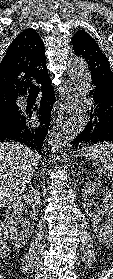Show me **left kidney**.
Returning <instances> with one entry per match:
<instances>
[{
	"mask_svg": "<svg viewBox=\"0 0 113 279\" xmlns=\"http://www.w3.org/2000/svg\"><path fill=\"white\" fill-rule=\"evenodd\" d=\"M99 194L103 197V210L93 212L91 196ZM82 204L86 213L91 218L92 227L100 242L113 244V192L104 188L100 183L88 181L82 190ZM100 213L105 214V222L100 224Z\"/></svg>",
	"mask_w": 113,
	"mask_h": 279,
	"instance_id": "5707ae66",
	"label": "left kidney"
}]
</instances>
